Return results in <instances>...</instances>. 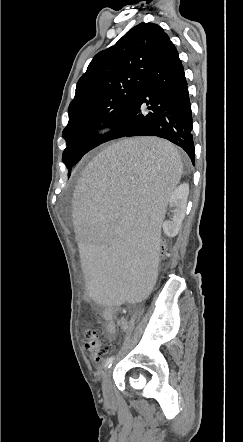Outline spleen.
I'll return each mask as SVG.
<instances>
[{
	"label": "spleen",
	"mask_w": 243,
	"mask_h": 442,
	"mask_svg": "<svg viewBox=\"0 0 243 442\" xmlns=\"http://www.w3.org/2000/svg\"><path fill=\"white\" fill-rule=\"evenodd\" d=\"M182 173L176 148L157 138L123 140L87 163L76 181L72 225L93 302L140 307L150 296L165 203Z\"/></svg>",
	"instance_id": "1"
}]
</instances>
